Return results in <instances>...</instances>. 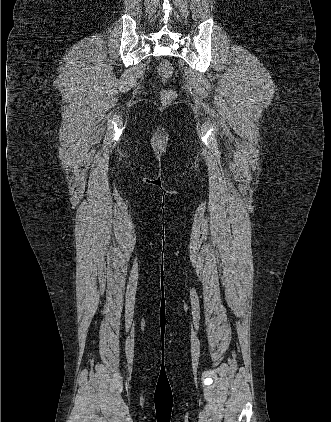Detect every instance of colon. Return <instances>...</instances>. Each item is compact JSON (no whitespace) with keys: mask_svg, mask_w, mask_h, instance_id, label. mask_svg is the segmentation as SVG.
<instances>
[{"mask_svg":"<svg viewBox=\"0 0 331 422\" xmlns=\"http://www.w3.org/2000/svg\"><path fill=\"white\" fill-rule=\"evenodd\" d=\"M157 71L160 77L165 81L172 76L173 66L169 61L163 60L158 64ZM175 97V92L170 89H162L160 92V100L164 104L171 103Z\"/></svg>","mask_w":331,"mask_h":422,"instance_id":"1","label":"colon"}]
</instances>
